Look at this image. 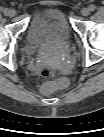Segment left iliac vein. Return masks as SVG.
<instances>
[{
  "mask_svg": "<svg viewBox=\"0 0 104 137\" xmlns=\"http://www.w3.org/2000/svg\"><path fill=\"white\" fill-rule=\"evenodd\" d=\"M81 14H82L83 16H88V15L90 14V9L87 8V7L82 8Z\"/></svg>",
  "mask_w": 104,
  "mask_h": 137,
  "instance_id": "4c4485c4",
  "label": "left iliac vein"
}]
</instances>
